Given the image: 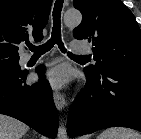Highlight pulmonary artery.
I'll return each instance as SVG.
<instances>
[{
    "mask_svg": "<svg viewBox=\"0 0 141 139\" xmlns=\"http://www.w3.org/2000/svg\"><path fill=\"white\" fill-rule=\"evenodd\" d=\"M71 48L73 51L78 52V53H90L91 49L89 46L79 43V42H73L71 44ZM31 58L30 55H25L23 57V60L28 61Z\"/></svg>",
    "mask_w": 141,
    "mask_h": 139,
    "instance_id": "pulmonary-artery-1",
    "label": "pulmonary artery"
}]
</instances>
